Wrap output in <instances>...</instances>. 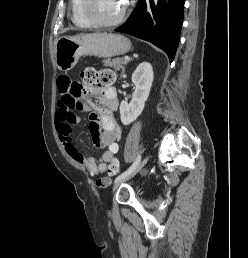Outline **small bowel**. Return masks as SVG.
Returning a JSON list of instances; mask_svg holds the SVG:
<instances>
[{"mask_svg": "<svg viewBox=\"0 0 248 258\" xmlns=\"http://www.w3.org/2000/svg\"><path fill=\"white\" fill-rule=\"evenodd\" d=\"M68 77L58 79L57 85L60 97L57 101L55 125L57 133L67 154L75 162L87 168L92 176H102L106 173L110 163L119 151L121 128L118 125L114 112L118 107V98L114 87L93 86L86 89L88 96L94 97L96 102L89 103L75 97L70 87ZM92 109V111H90ZM74 110L90 111L89 130L92 143L97 148H106L99 158L82 154L72 139V127L80 122V117ZM100 190H109L112 180L103 177L99 180Z\"/></svg>", "mask_w": 248, "mask_h": 258, "instance_id": "1", "label": "small bowel"}]
</instances>
